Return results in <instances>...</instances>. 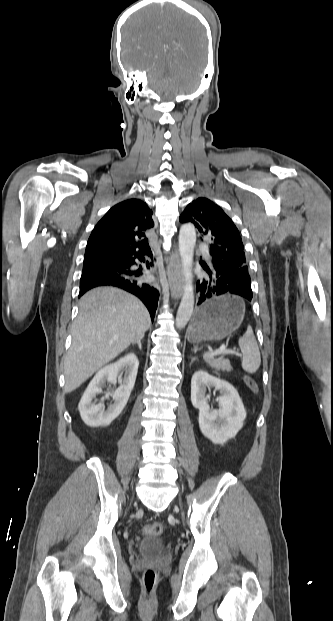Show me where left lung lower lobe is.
<instances>
[{
  "mask_svg": "<svg viewBox=\"0 0 333 621\" xmlns=\"http://www.w3.org/2000/svg\"><path fill=\"white\" fill-rule=\"evenodd\" d=\"M208 276L198 281V304L210 298L225 294H235L251 301V279L248 271L232 268L227 262L211 256L210 266L203 265Z\"/></svg>",
  "mask_w": 333,
  "mask_h": 621,
  "instance_id": "1",
  "label": "left lung lower lobe"
}]
</instances>
